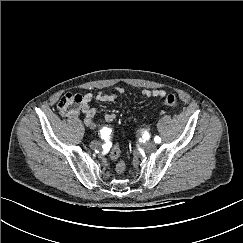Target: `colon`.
<instances>
[{
    "label": "colon",
    "mask_w": 243,
    "mask_h": 243,
    "mask_svg": "<svg viewBox=\"0 0 243 243\" xmlns=\"http://www.w3.org/2000/svg\"><path fill=\"white\" fill-rule=\"evenodd\" d=\"M84 96L80 94L67 93L61 97L58 103V109L62 115L68 116L74 114L82 105ZM163 104L169 107H176L178 105V99L175 95L169 94L164 100ZM111 158L115 161V169L118 173H122L126 164L122 157L121 150L118 145H115L110 152Z\"/></svg>",
    "instance_id": "1"
}]
</instances>
